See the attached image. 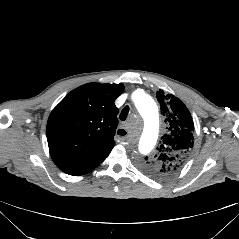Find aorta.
<instances>
[{
  "instance_id": "aorta-1",
  "label": "aorta",
  "mask_w": 239,
  "mask_h": 239,
  "mask_svg": "<svg viewBox=\"0 0 239 239\" xmlns=\"http://www.w3.org/2000/svg\"><path fill=\"white\" fill-rule=\"evenodd\" d=\"M133 101L141 117L146 122V131L138 142L139 152L143 155L149 153L157 142L158 108L155 101L143 91H136Z\"/></svg>"
}]
</instances>
